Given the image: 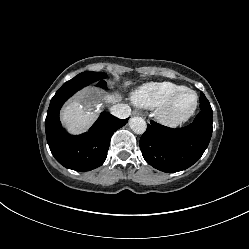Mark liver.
<instances>
[{"label": "liver", "mask_w": 249, "mask_h": 249, "mask_svg": "<svg viewBox=\"0 0 249 249\" xmlns=\"http://www.w3.org/2000/svg\"><path fill=\"white\" fill-rule=\"evenodd\" d=\"M132 82L126 81L125 86ZM119 95H107L106 103H115L120 100ZM102 99L97 92L86 90L70 101L62 110L61 118L71 133H80L88 129L98 117L102 107Z\"/></svg>", "instance_id": "1"}]
</instances>
